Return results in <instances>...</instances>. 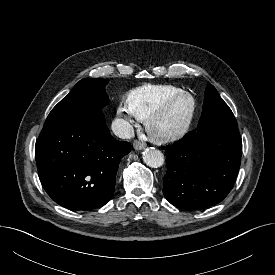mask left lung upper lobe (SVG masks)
<instances>
[{
  "mask_svg": "<svg viewBox=\"0 0 275 275\" xmlns=\"http://www.w3.org/2000/svg\"><path fill=\"white\" fill-rule=\"evenodd\" d=\"M196 131L201 134H239L231 109L211 84L205 90L202 114Z\"/></svg>",
  "mask_w": 275,
  "mask_h": 275,
  "instance_id": "5c2ea615",
  "label": "left lung upper lobe"
}]
</instances>
